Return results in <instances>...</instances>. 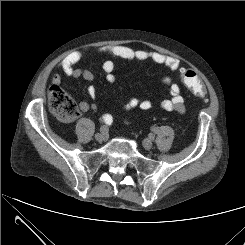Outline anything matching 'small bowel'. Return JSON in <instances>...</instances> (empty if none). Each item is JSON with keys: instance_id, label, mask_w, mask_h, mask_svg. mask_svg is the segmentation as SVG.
I'll list each match as a JSON object with an SVG mask.
<instances>
[{"instance_id": "1", "label": "small bowel", "mask_w": 245, "mask_h": 245, "mask_svg": "<svg viewBox=\"0 0 245 245\" xmlns=\"http://www.w3.org/2000/svg\"><path fill=\"white\" fill-rule=\"evenodd\" d=\"M101 53L106 54L117 60L126 61H146L150 60L155 64L162 65L171 71H177L180 67V61L177 58L158 53L153 51H135L131 48L119 45H111L104 48ZM86 54L85 50L78 51L68 55L59 64V68L62 70L63 74L73 78H82L86 81L93 79V73L87 69L76 68V64L82 60ZM103 71L106 74V80L109 83H114L116 81V75L114 73L115 63L112 60H106L102 65ZM62 80L60 74H55L52 77L53 84H59ZM163 84L168 88L170 93V98L165 99L161 102L160 106L163 110L176 112L183 114L185 112L184 100L181 95V88L177 83H174L169 76H164L162 78ZM88 94L91 98L96 97V89L94 86L88 87ZM79 108L82 112H87L90 109L89 103L82 101L79 103ZM152 108V102L149 99H140L138 97H131L121 108L123 112H129L133 110L149 111ZM112 116L110 114H105L103 116V121L106 122ZM113 121V117H112Z\"/></svg>"}]
</instances>
